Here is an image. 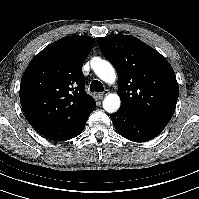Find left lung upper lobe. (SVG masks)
Returning <instances> with one entry per match:
<instances>
[{
    "label": "left lung upper lobe",
    "instance_id": "left-lung-upper-lobe-1",
    "mask_svg": "<svg viewBox=\"0 0 199 199\" xmlns=\"http://www.w3.org/2000/svg\"><path fill=\"white\" fill-rule=\"evenodd\" d=\"M98 45L118 72L120 108L166 127L179 95L176 76L169 62L152 47L130 35L98 38Z\"/></svg>",
    "mask_w": 199,
    "mask_h": 199
}]
</instances>
